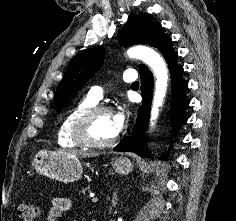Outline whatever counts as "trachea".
Instances as JSON below:
<instances>
[{
    "label": "trachea",
    "mask_w": 236,
    "mask_h": 221,
    "mask_svg": "<svg viewBox=\"0 0 236 221\" xmlns=\"http://www.w3.org/2000/svg\"><path fill=\"white\" fill-rule=\"evenodd\" d=\"M133 85H139V82H138V81H135V82L133 83Z\"/></svg>",
    "instance_id": "trachea-1"
}]
</instances>
